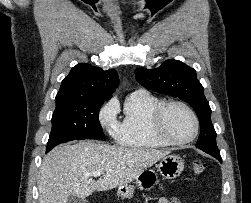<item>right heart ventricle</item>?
I'll return each instance as SVG.
<instances>
[{
    "label": "right heart ventricle",
    "instance_id": "right-heart-ventricle-1",
    "mask_svg": "<svg viewBox=\"0 0 251 203\" xmlns=\"http://www.w3.org/2000/svg\"><path fill=\"white\" fill-rule=\"evenodd\" d=\"M163 101L149 93H132L125 102L124 117L115 134L116 142L127 148L155 149L167 144L151 132V115Z\"/></svg>",
    "mask_w": 251,
    "mask_h": 203
}]
</instances>
